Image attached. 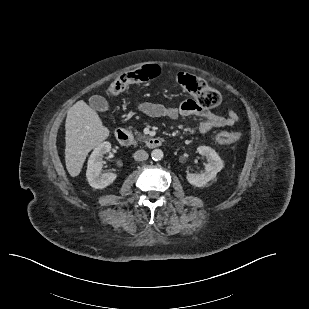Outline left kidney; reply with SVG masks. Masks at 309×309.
I'll list each match as a JSON object with an SVG mask.
<instances>
[{"label": "left kidney", "instance_id": "left-kidney-1", "mask_svg": "<svg viewBox=\"0 0 309 309\" xmlns=\"http://www.w3.org/2000/svg\"><path fill=\"white\" fill-rule=\"evenodd\" d=\"M197 151L200 155L205 156L207 164L205 165L204 173H188V182L196 187H204L206 184L214 179L218 172L223 168V161L214 149L208 146H199Z\"/></svg>", "mask_w": 309, "mask_h": 309}]
</instances>
